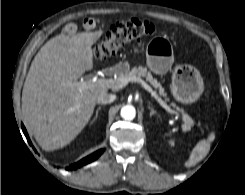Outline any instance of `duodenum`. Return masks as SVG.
<instances>
[{"mask_svg": "<svg viewBox=\"0 0 245 195\" xmlns=\"http://www.w3.org/2000/svg\"><path fill=\"white\" fill-rule=\"evenodd\" d=\"M104 72L106 75H113L116 72V68L115 67H108L105 69Z\"/></svg>", "mask_w": 245, "mask_h": 195, "instance_id": "410a0bca", "label": "duodenum"}]
</instances>
